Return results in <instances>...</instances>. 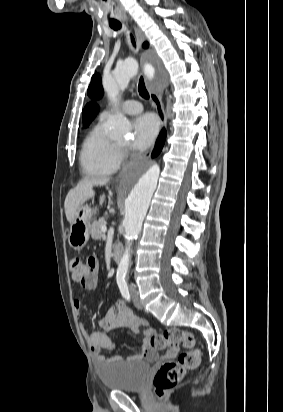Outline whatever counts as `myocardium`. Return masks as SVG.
<instances>
[{
  "label": "myocardium",
  "instance_id": "1",
  "mask_svg": "<svg viewBox=\"0 0 283 412\" xmlns=\"http://www.w3.org/2000/svg\"><path fill=\"white\" fill-rule=\"evenodd\" d=\"M118 147L120 149L121 152H124L126 150V146L122 145V144H118Z\"/></svg>",
  "mask_w": 283,
  "mask_h": 412
}]
</instances>
